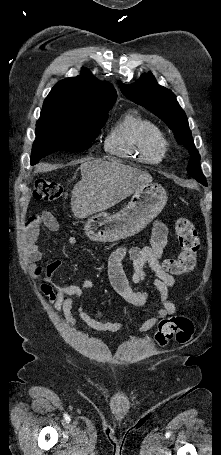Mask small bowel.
Instances as JSON below:
<instances>
[{"mask_svg":"<svg viewBox=\"0 0 221 455\" xmlns=\"http://www.w3.org/2000/svg\"><path fill=\"white\" fill-rule=\"evenodd\" d=\"M57 230V220L49 212L34 214L26 223L23 235V243L28 260L31 263L40 261L43 257L38 248V236L41 228ZM168 232L166 226L156 222L152 229L150 244L144 247L128 246L116 249L108 258L107 271L113 289L127 303L133 306H142L150 301L151 294L148 291H138L130 284L123 268V261L129 258L133 265L132 282L142 284L146 280V267L155 274L153 281L154 288L160 296L162 307L154 315L147 318L138 328V333H145L154 328L162 319L177 313V307L171 298V289L175 285L172 275L163 269V250L167 244ZM78 237H68V244H78ZM61 261H53L45 266H38L36 273L43 275L45 283L40 286L41 292L47 296L48 302L56 312L63 314L66 322L76 326V318L73 314L75 300L82 294L93 288L89 280L83 281L80 285H57L53 281V275L61 267ZM79 318L91 329L99 332H118L124 326L121 321L108 322L102 318L97 310L94 316L86 313L81 307L77 308Z\"/></svg>","mask_w":221,"mask_h":455,"instance_id":"c3829d8e","label":"small bowel"}]
</instances>
